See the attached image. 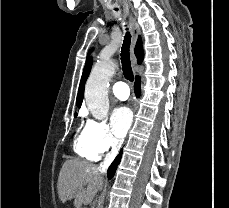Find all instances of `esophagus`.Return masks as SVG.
Instances as JSON below:
<instances>
[{
  "label": "esophagus",
  "instance_id": "esophagus-1",
  "mask_svg": "<svg viewBox=\"0 0 229 208\" xmlns=\"http://www.w3.org/2000/svg\"><path fill=\"white\" fill-rule=\"evenodd\" d=\"M129 24H130V27H131V35H132L131 46H130V57H131L132 64L136 65L137 61H136V57H135V54H134V47L136 45L138 36L140 35V28L137 25L133 15L129 16Z\"/></svg>",
  "mask_w": 229,
  "mask_h": 208
}]
</instances>
